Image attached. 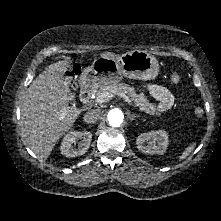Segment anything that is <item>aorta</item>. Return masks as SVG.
I'll return each instance as SVG.
<instances>
[{"label": "aorta", "mask_w": 221, "mask_h": 221, "mask_svg": "<svg viewBox=\"0 0 221 221\" xmlns=\"http://www.w3.org/2000/svg\"><path fill=\"white\" fill-rule=\"evenodd\" d=\"M107 119L110 126L119 127L123 122L124 115L120 109L115 108L109 111Z\"/></svg>", "instance_id": "obj_1"}]
</instances>
